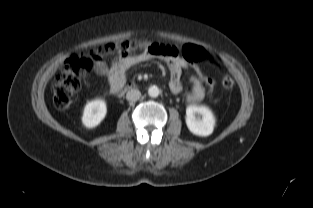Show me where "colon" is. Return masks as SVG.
Wrapping results in <instances>:
<instances>
[{"label": "colon", "mask_w": 313, "mask_h": 208, "mask_svg": "<svg viewBox=\"0 0 313 208\" xmlns=\"http://www.w3.org/2000/svg\"><path fill=\"white\" fill-rule=\"evenodd\" d=\"M149 49L158 52L156 46H146L144 42L121 41L109 43L97 50H84L73 54L66 62L63 71L56 78L53 84V100L58 109L67 108L76 96L82 79L88 74L94 63L103 57L128 54L137 50ZM183 57L194 66L197 73L204 79L210 92H213L215 83L211 78L204 75V72L197 65L201 62H212L211 55L204 49L192 45L184 47ZM221 84L224 88L230 89L233 86L232 78L224 73L221 77Z\"/></svg>", "instance_id": "obj_1"}]
</instances>
